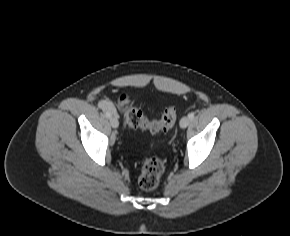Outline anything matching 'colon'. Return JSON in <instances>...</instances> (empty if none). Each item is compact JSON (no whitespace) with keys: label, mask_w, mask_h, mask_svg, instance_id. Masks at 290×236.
<instances>
[{"label":"colon","mask_w":290,"mask_h":236,"mask_svg":"<svg viewBox=\"0 0 290 236\" xmlns=\"http://www.w3.org/2000/svg\"><path fill=\"white\" fill-rule=\"evenodd\" d=\"M118 102L123 110L126 122L133 128L158 133L169 130L176 121V111L172 106L165 108L160 117L149 118L142 110L130 105L126 95H122ZM163 172L164 165L161 159L158 157L146 159L139 176L140 187L145 191L157 188L161 182Z\"/></svg>","instance_id":"colon-1"}]
</instances>
